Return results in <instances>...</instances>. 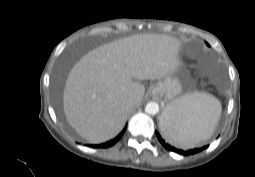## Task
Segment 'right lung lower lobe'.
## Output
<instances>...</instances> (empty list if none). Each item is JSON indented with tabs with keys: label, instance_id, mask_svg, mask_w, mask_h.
Wrapping results in <instances>:
<instances>
[{
	"label": "right lung lower lobe",
	"instance_id": "right-lung-lower-lobe-1",
	"mask_svg": "<svg viewBox=\"0 0 255 177\" xmlns=\"http://www.w3.org/2000/svg\"><path fill=\"white\" fill-rule=\"evenodd\" d=\"M125 129L114 139L106 142V143H103V144H100V145H89L90 147H94V148H107V147H110L112 145H114L116 142H118L120 140V138L122 137L123 133H124Z\"/></svg>",
	"mask_w": 255,
	"mask_h": 177
}]
</instances>
